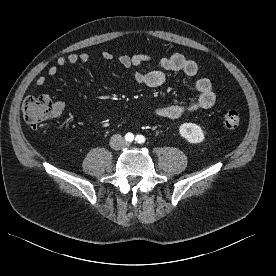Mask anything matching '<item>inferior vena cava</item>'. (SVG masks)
<instances>
[{"label": "inferior vena cava", "instance_id": "obj_1", "mask_svg": "<svg viewBox=\"0 0 276 276\" xmlns=\"http://www.w3.org/2000/svg\"><path fill=\"white\" fill-rule=\"evenodd\" d=\"M126 145V141L124 140V138L119 135V134H115L111 137L110 139V146L111 148H113L114 150H118L120 148H122L123 146Z\"/></svg>", "mask_w": 276, "mask_h": 276}]
</instances>
